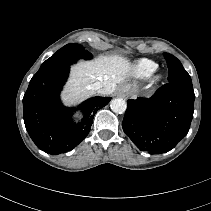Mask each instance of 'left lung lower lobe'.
Returning a JSON list of instances; mask_svg holds the SVG:
<instances>
[{
    "label": "left lung lower lobe",
    "mask_w": 211,
    "mask_h": 211,
    "mask_svg": "<svg viewBox=\"0 0 211 211\" xmlns=\"http://www.w3.org/2000/svg\"><path fill=\"white\" fill-rule=\"evenodd\" d=\"M194 99L192 84L169 82L149 99L127 101L123 130L142 151L168 152L189 131Z\"/></svg>",
    "instance_id": "obj_1"
}]
</instances>
